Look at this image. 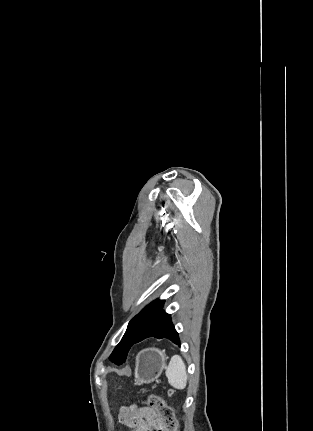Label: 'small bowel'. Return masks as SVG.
<instances>
[{
    "instance_id": "c3829d8e",
    "label": "small bowel",
    "mask_w": 313,
    "mask_h": 431,
    "mask_svg": "<svg viewBox=\"0 0 313 431\" xmlns=\"http://www.w3.org/2000/svg\"><path fill=\"white\" fill-rule=\"evenodd\" d=\"M122 424L132 431H153L158 422L156 412L148 407H123L119 413Z\"/></svg>"
}]
</instances>
